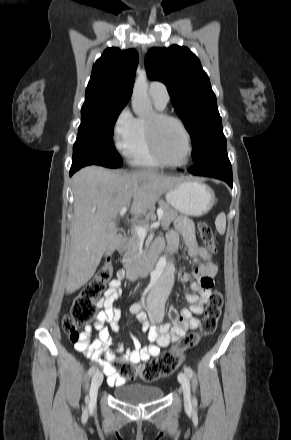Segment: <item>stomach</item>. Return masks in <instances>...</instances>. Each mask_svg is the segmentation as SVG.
Instances as JSON below:
<instances>
[{"label": "stomach", "instance_id": "obj_1", "mask_svg": "<svg viewBox=\"0 0 291 440\" xmlns=\"http://www.w3.org/2000/svg\"><path fill=\"white\" fill-rule=\"evenodd\" d=\"M166 200L181 214L202 216L212 209L216 197L208 185L194 180L182 179L166 192Z\"/></svg>", "mask_w": 291, "mask_h": 440}]
</instances>
